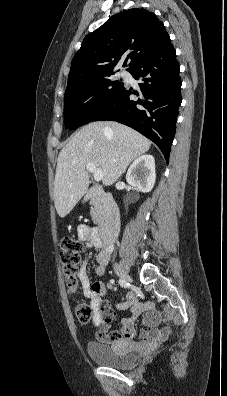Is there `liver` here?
<instances>
[{"label": "liver", "instance_id": "6515ba94", "mask_svg": "<svg viewBox=\"0 0 227 396\" xmlns=\"http://www.w3.org/2000/svg\"><path fill=\"white\" fill-rule=\"evenodd\" d=\"M151 141L117 122H92L77 131L59 153L54 180V204L64 218L85 195L89 186L86 165L103 173L105 186L114 184L128 165L146 153Z\"/></svg>", "mask_w": 227, "mask_h": 396}]
</instances>
